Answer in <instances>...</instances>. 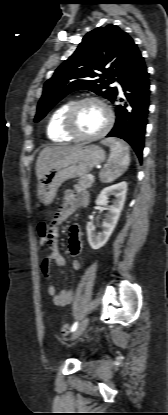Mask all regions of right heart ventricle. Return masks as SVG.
Returning <instances> with one entry per match:
<instances>
[{
  "mask_svg": "<svg viewBox=\"0 0 168 415\" xmlns=\"http://www.w3.org/2000/svg\"><path fill=\"white\" fill-rule=\"evenodd\" d=\"M71 104V101L61 104L50 115L46 131L48 138L55 143H65L72 140L63 129V118Z\"/></svg>",
  "mask_w": 168,
  "mask_h": 415,
  "instance_id": "right-heart-ventricle-1",
  "label": "right heart ventricle"
}]
</instances>
